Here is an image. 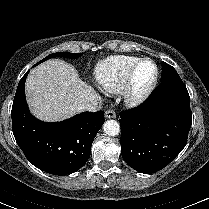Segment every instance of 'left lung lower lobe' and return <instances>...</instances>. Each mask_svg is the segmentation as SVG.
Masks as SVG:
<instances>
[{
	"label": "left lung lower lobe",
	"instance_id": "left-lung-lower-lobe-1",
	"mask_svg": "<svg viewBox=\"0 0 209 209\" xmlns=\"http://www.w3.org/2000/svg\"><path fill=\"white\" fill-rule=\"evenodd\" d=\"M121 153L138 172L151 174L183 150L192 124L190 96L181 79L162 81L138 107L120 114Z\"/></svg>",
	"mask_w": 209,
	"mask_h": 209
}]
</instances>
